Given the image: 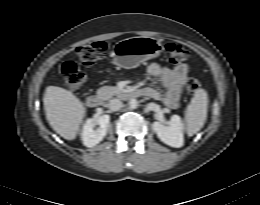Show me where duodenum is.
I'll use <instances>...</instances> for the list:
<instances>
[{
    "label": "duodenum",
    "mask_w": 260,
    "mask_h": 205,
    "mask_svg": "<svg viewBox=\"0 0 260 205\" xmlns=\"http://www.w3.org/2000/svg\"><path fill=\"white\" fill-rule=\"evenodd\" d=\"M143 93L141 90H131V91H124L119 93V98L123 100H130L137 97L142 96ZM86 104L89 108L96 109L99 108L102 105V99L95 94L89 95L86 98Z\"/></svg>",
    "instance_id": "1"
}]
</instances>
